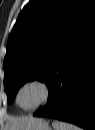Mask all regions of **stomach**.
<instances>
[{
    "mask_svg": "<svg viewBox=\"0 0 95 130\" xmlns=\"http://www.w3.org/2000/svg\"><path fill=\"white\" fill-rule=\"evenodd\" d=\"M17 130H52L49 123L42 118H30L25 124Z\"/></svg>",
    "mask_w": 95,
    "mask_h": 130,
    "instance_id": "stomach-1",
    "label": "stomach"
}]
</instances>
